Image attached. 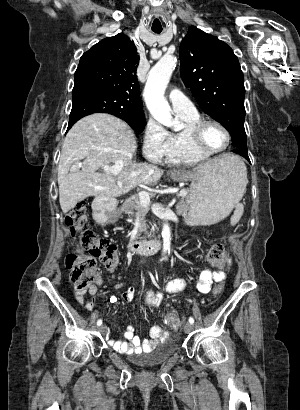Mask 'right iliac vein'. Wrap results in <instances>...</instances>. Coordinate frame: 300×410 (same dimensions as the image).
<instances>
[{
  "label": "right iliac vein",
  "mask_w": 300,
  "mask_h": 410,
  "mask_svg": "<svg viewBox=\"0 0 300 410\" xmlns=\"http://www.w3.org/2000/svg\"><path fill=\"white\" fill-rule=\"evenodd\" d=\"M98 330H99L100 333L105 334L106 333V326L102 325L98 328Z\"/></svg>",
  "instance_id": "right-iliac-vein-1"
}]
</instances>
